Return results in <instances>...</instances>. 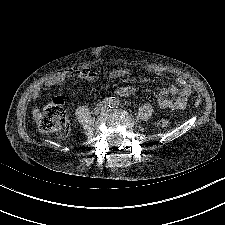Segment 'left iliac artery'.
Listing matches in <instances>:
<instances>
[{
  "label": "left iliac artery",
  "instance_id": "obj_1",
  "mask_svg": "<svg viewBox=\"0 0 225 225\" xmlns=\"http://www.w3.org/2000/svg\"><path fill=\"white\" fill-rule=\"evenodd\" d=\"M119 104H120V101H119V99H117V98H114V101H113V105H112V108L113 107H118L119 106Z\"/></svg>",
  "mask_w": 225,
  "mask_h": 225
}]
</instances>
